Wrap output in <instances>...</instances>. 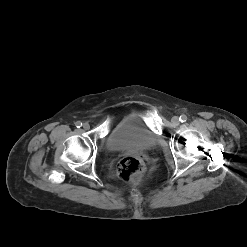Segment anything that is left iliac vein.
<instances>
[{
	"label": "left iliac vein",
	"mask_w": 247,
	"mask_h": 247,
	"mask_svg": "<svg viewBox=\"0 0 247 247\" xmlns=\"http://www.w3.org/2000/svg\"><path fill=\"white\" fill-rule=\"evenodd\" d=\"M171 121H172V124L175 126L179 125L180 123L179 117L177 116H174Z\"/></svg>",
	"instance_id": "4c4485c4"
}]
</instances>
